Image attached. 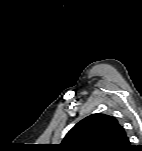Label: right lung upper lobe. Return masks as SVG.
Segmentation results:
<instances>
[{"mask_svg": "<svg viewBox=\"0 0 142 151\" xmlns=\"http://www.w3.org/2000/svg\"><path fill=\"white\" fill-rule=\"evenodd\" d=\"M59 151H129L124 128L109 115L92 114L77 123L65 136Z\"/></svg>", "mask_w": 142, "mask_h": 151, "instance_id": "right-lung-upper-lobe-1", "label": "right lung upper lobe"}]
</instances>
